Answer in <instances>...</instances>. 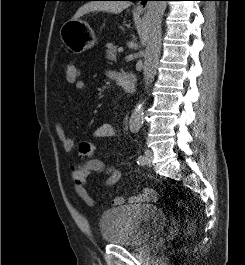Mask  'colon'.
<instances>
[{
  "instance_id": "5ec220e1",
  "label": "colon",
  "mask_w": 245,
  "mask_h": 265,
  "mask_svg": "<svg viewBox=\"0 0 245 265\" xmlns=\"http://www.w3.org/2000/svg\"><path fill=\"white\" fill-rule=\"evenodd\" d=\"M63 69L66 79L69 82H75L78 78L79 71L75 63L66 61L63 63ZM95 152V145L90 141H82L79 144V154L82 157H91ZM178 205L182 206L183 203L178 201ZM194 230V224L191 219H188V234L190 235Z\"/></svg>"
}]
</instances>
